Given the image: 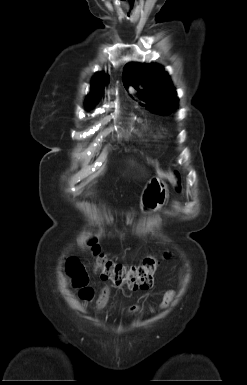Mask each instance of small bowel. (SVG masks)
<instances>
[{"mask_svg": "<svg viewBox=\"0 0 247 385\" xmlns=\"http://www.w3.org/2000/svg\"><path fill=\"white\" fill-rule=\"evenodd\" d=\"M111 291H112V287L110 285H106L101 289L95 304L96 310L98 312H101L108 304L109 299L111 297ZM174 297H175V291L167 290L163 295V299L160 303V308L166 309L167 307H169L172 304ZM139 311H140L139 305H131L127 308L128 314H135Z\"/></svg>", "mask_w": 247, "mask_h": 385, "instance_id": "obj_1", "label": "small bowel"}]
</instances>
